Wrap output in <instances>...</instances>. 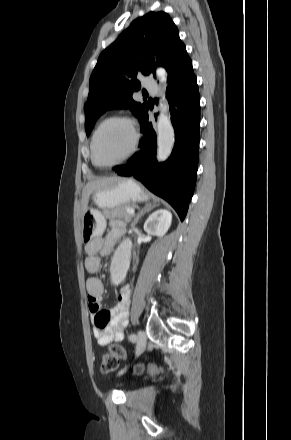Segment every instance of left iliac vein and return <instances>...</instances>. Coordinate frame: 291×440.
<instances>
[{"mask_svg":"<svg viewBox=\"0 0 291 440\" xmlns=\"http://www.w3.org/2000/svg\"><path fill=\"white\" fill-rule=\"evenodd\" d=\"M146 347V335L142 330H139L137 333V345L136 352L137 354H141Z\"/></svg>","mask_w":291,"mask_h":440,"instance_id":"4c4485c4","label":"left iliac vein"}]
</instances>
